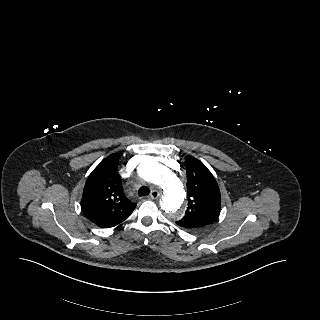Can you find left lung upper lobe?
Wrapping results in <instances>:
<instances>
[{"label":"left lung upper lobe","instance_id":"1","mask_svg":"<svg viewBox=\"0 0 320 320\" xmlns=\"http://www.w3.org/2000/svg\"><path fill=\"white\" fill-rule=\"evenodd\" d=\"M186 171L188 207L176 224L183 229L196 231L217 218L221 196L215 178L201 161L187 156Z\"/></svg>","mask_w":320,"mask_h":320}]
</instances>
